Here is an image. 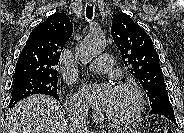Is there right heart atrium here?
I'll return each instance as SVG.
<instances>
[{
	"instance_id": "right-heart-atrium-1",
	"label": "right heart atrium",
	"mask_w": 184,
	"mask_h": 133,
	"mask_svg": "<svg viewBox=\"0 0 184 133\" xmlns=\"http://www.w3.org/2000/svg\"><path fill=\"white\" fill-rule=\"evenodd\" d=\"M66 107L68 112L74 115H87L89 112L87 105L76 94H71L68 97Z\"/></svg>"
}]
</instances>
